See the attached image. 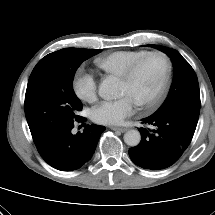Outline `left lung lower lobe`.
<instances>
[{
  "label": "left lung lower lobe",
  "instance_id": "obj_1",
  "mask_svg": "<svg viewBox=\"0 0 215 215\" xmlns=\"http://www.w3.org/2000/svg\"><path fill=\"white\" fill-rule=\"evenodd\" d=\"M149 128H139L141 142L129 150L138 166L159 170L173 165L186 150L194 135L197 122L177 113L153 114L142 119Z\"/></svg>",
  "mask_w": 215,
  "mask_h": 215
}]
</instances>
